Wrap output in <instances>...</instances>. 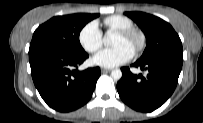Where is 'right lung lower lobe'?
Here are the masks:
<instances>
[{
	"instance_id": "98d812e1",
	"label": "right lung lower lobe",
	"mask_w": 203,
	"mask_h": 123,
	"mask_svg": "<svg viewBox=\"0 0 203 123\" xmlns=\"http://www.w3.org/2000/svg\"><path fill=\"white\" fill-rule=\"evenodd\" d=\"M88 58L84 51L69 53L42 46H30L29 62L35 87L51 108L60 112L76 110L92 96L100 68L79 71Z\"/></svg>"
}]
</instances>
